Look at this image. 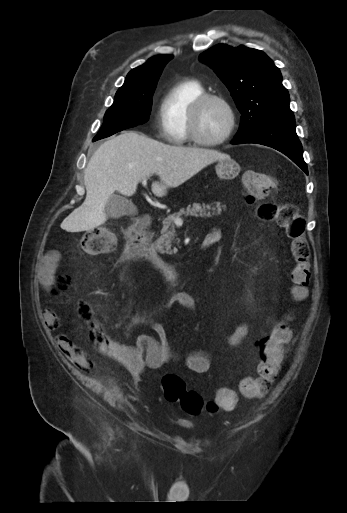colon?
<instances>
[{"instance_id": "1", "label": "colon", "mask_w": 347, "mask_h": 513, "mask_svg": "<svg viewBox=\"0 0 347 513\" xmlns=\"http://www.w3.org/2000/svg\"><path fill=\"white\" fill-rule=\"evenodd\" d=\"M244 194L248 203L263 201L265 193L276 190V182L270 174L249 172L244 178ZM257 215L266 221L276 222L285 230L290 240L294 264L290 272L292 292L297 298H304L310 283V248L305 236V220L289 205H274L263 202L258 206ZM116 243V236L104 227H97L84 233L81 248L87 254H101L109 251ZM62 280H58L53 292L62 289ZM77 312L83 317V322L91 326L90 337L95 345L112 350L113 345L105 336L100 324L93 314L94 305L89 300H82L77 305ZM290 318L286 317L277 322L272 328L268 340L262 342L261 359L256 364V377H246L241 381L240 392L248 398H261L270 390L276 379L280 362L287 357L285 346L292 337L288 326ZM162 389L169 402L179 403L181 408L190 415H198L203 411L216 413L219 410L231 411L237 405L235 392L222 387L216 392L212 401H204L195 391L188 390L184 379L176 374L168 373L162 379Z\"/></svg>"}]
</instances>
